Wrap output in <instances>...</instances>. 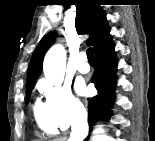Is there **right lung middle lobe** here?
I'll return each mask as SVG.
<instances>
[{
    "label": "right lung middle lobe",
    "mask_w": 155,
    "mask_h": 141,
    "mask_svg": "<svg viewBox=\"0 0 155 141\" xmlns=\"http://www.w3.org/2000/svg\"><path fill=\"white\" fill-rule=\"evenodd\" d=\"M33 86L34 85H29V86H26V103L28 102L29 98H30V94H31V91L33 89Z\"/></svg>",
    "instance_id": "obj_1"
}]
</instances>
